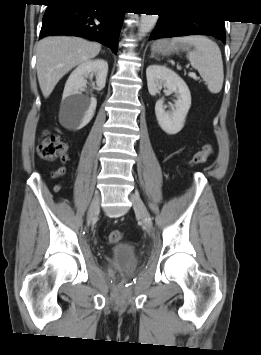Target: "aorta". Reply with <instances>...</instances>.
<instances>
[{
    "mask_svg": "<svg viewBox=\"0 0 261 355\" xmlns=\"http://www.w3.org/2000/svg\"><path fill=\"white\" fill-rule=\"evenodd\" d=\"M158 20V15L141 14L140 26L138 30L139 37L150 32Z\"/></svg>",
    "mask_w": 261,
    "mask_h": 355,
    "instance_id": "762f6f07",
    "label": "aorta"
}]
</instances>
